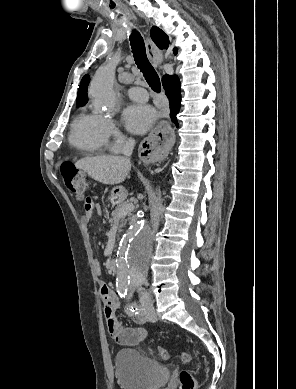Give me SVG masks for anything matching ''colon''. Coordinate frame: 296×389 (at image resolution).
I'll return each instance as SVG.
<instances>
[{
    "label": "colon",
    "instance_id": "colon-1",
    "mask_svg": "<svg viewBox=\"0 0 296 389\" xmlns=\"http://www.w3.org/2000/svg\"><path fill=\"white\" fill-rule=\"evenodd\" d=\"M61 175L66 187L75 193L80 199H82L85 196L87 190L85 174L77 169L73 163L66 162L61 165ZM158 353L159 356L164 360L169 358V353L164 348H159ZM180 359L183 363L187 364L191 362L192 357L189 353L182 352L180 354ZM179 384L180 389H195L196 387L195 378L188 370L180 371Z\"/></svg>",
    "mask_w": 296,
    "mask_h": 389
}]
</instances>
